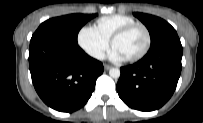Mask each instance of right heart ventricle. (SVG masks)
I'll return each mask as SVG.
<instances>
[{
	"label": "right heart ventricle",
	"mask_w": 203,
	"mask_h": 123,
	"mask_svg": "<svg viewBox=\"0 0 203 123\" xmlns=\"http://www.w3.org/2000/svg\"><path fill=\"white\" fill-rule=\"evenodd\" d=\"M136 22L132 16L126 14H112L99 18L96 28L106 39L111 40L116 31Z\"/></svg>",
	"instance_id": "right-heart-ventricle-1"
}]
</instances>
